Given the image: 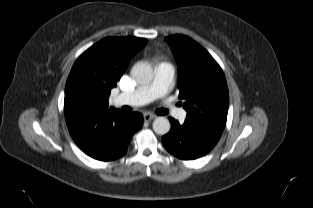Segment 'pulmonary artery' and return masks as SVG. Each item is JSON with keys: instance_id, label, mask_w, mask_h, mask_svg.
I'll list each match as a JSON object with an SVG mask.
<instances>
[{"instance_id": "obj_1", "label": "pulmonary artery", "mask_w": 313, "mask_h": 208, "mask_svg": "<svg viewBox=\"0 0 313 208\" xmlns=\"http://www.w3.org/2000/svg\"><path fill=\"white\" fill-rule=\"evenodd\" d=\"M173 77V66L166 62L159 63L154 70V79L149 85L139 87L129 93L118 94L114 99V103L118 106L146 105L168 93L173 84ZM165 109L168 110V113L177 118L183 117L184 111L177 108L175 105H167Z\"/></svg>"}]
</instances>
